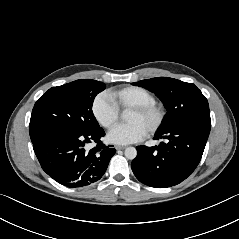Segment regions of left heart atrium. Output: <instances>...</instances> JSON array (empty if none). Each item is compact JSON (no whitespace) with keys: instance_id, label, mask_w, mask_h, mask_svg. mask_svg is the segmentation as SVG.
<instances>
[{"instance_id":"obj_1","label":"left heart atrium","mask_w":239,"mask_h":239,"mask_svg":"<svg viewBox=\"0 0 239 239\" xmlns=\"http://www.w3.org/2000/svg\"><path fill=\"white\" fill-rule=\"evenodd\" d=\"M147 135V130L138 123L120 124L108 133V140L114 144L126 145L135 143Z\"/></svg>"}]
</instances>
